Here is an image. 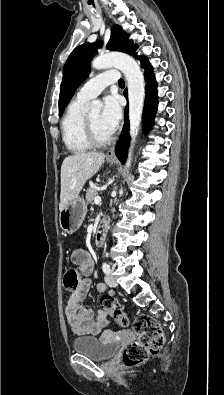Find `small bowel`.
<instances>
[{"instance_id":"1","label":"small bowel","mask_w":224,"mask_h":395,"mask_svg":"<svg viewBox=\"0 0 224 395\" xmlns=\"http://www.w3.org/2000/svg\"><path fill=\"white\" fill-rule=\"evenodd\" d=\"M72 260L80 267L83 278L78 286L73 289L67 301L65 317L73 334L97 335L108 327L110 320L107 311L104 309L95 314L93 309L84 304L91 285L89 275L93 271V259L87 251L77 249L72 255ZM97 290L104 293L108 290V287L104 283H100L97 285Z\"/></svg>"}]
</instances>
